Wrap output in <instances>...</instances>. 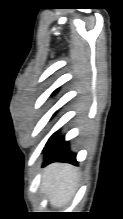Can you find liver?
<instances>
[{
	"mask_svg": "<svg viewBox=\"0 0 123 219\" xmlns=\"http://www.w3.org/2000/svg\"><path fill=\"white\" fill-rule=\"evenodd\" d=\"M78 181L76 168L68 164L53 163L44 172L41 192L49 197L52 206H65L74 196Z\"/></svg>",
	"mask_w": 123,
	"mask_h": 219,
	"instance_id": "1",
	"label": "liver"
}]
</instances>
